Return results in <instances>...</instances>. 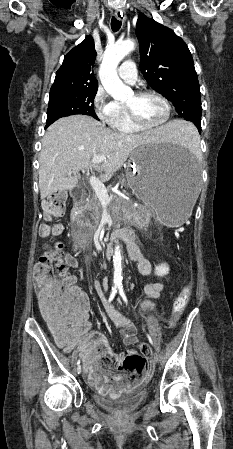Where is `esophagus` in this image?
Masks as SVG:
<instances>
[{
  "mask_svg": "<svg viewBox=\"0 0 233 449\" xmlns=\"http://www.w3.org/2000/svg\"><path fill=\"white\" fill-rule=\"evenodd\" d=\"M114 15L119 21H126V15L121 10H115Z\"/></svg>",
  "mask_w": 233,
  "mask_h": 449,
  "instance_id": "1",
  "label": "esophagus"
}]
</instances>
